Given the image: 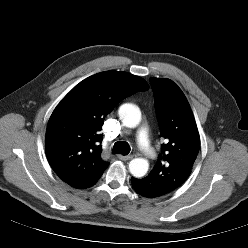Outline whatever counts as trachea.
Segmentation results:
<instances>
[{"label":"trachea","mask_w":248,"mask_h":248,"mask_svg":"<svg viewBox=\"0 0 248 248\" xmlns=\"http://www.w3.org/2000/svg\"><path fill=\"white\" fill-rule=\"evenodd\" d=\"M130 150V146L127 142L118 141L114 144L112 152L114 154L128 155Z\"/></svg>","instance_id":"1"}]
</instances>
